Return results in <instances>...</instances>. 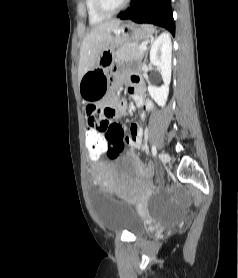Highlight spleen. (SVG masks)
I'll list each match as a JSON object with an SVG mask.
<instances>
[{
    "instance_id": "obj_1",
    "label": "spleen",
    "mask_w": 238,
    "mask_h": 278,
    "mask_svg": "<svg viewBox=\"0 0 238 278\" xmlns=\"http://www.w3.org/2000/svg\"><path fill=\"white\" fill-rule=\"evenodd\" d=\"M151 32L154 31V29L151 26H146Z\"/></svg>"
}]
</instances>
